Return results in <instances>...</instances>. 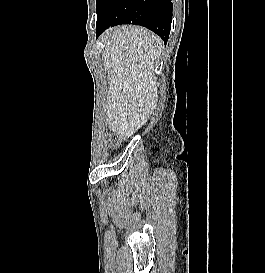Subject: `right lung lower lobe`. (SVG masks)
<instances>
[{
	"label": "right lung lower lobe",
	"mask_w": 265,
	"mask_h": 273,
	"mask_svg": "<svg viewBox=\"0 0 265 273\" xmlns=\"http://www.w3.org/2000/svg\"><path fill=\"white\" fill-rule=\"evenodd\" d=\"M171 20V0H113L104 19L96 26V37L118 24H137L152 30L166 43Z\"/></svg>",
	"instance_id": "98d812e1"
}]
</instances>
